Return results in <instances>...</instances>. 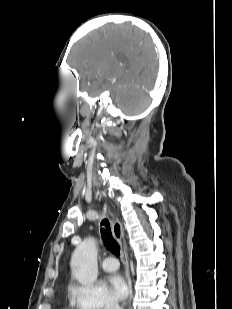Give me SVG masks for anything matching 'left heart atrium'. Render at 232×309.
I'll return each instance as SVG.
<instances>
[{"mask_svg":"<svg viewBox=\"0 0 232 309\" xmlns=\"http://www.w3.org/2000/svg\"><path fill=\"white\" fill-rule=\"evenodd\" d=\"M108 283L109 289L116 299L120 301L127 299L129 295V287L127 280H125L123 276L120 274H113L109 277Z\"/></svg>","mask_w":232,"mask_h":309,"instance_id":"left-heart-atrium-1","label":"left heart atrium"}]
</instances>
